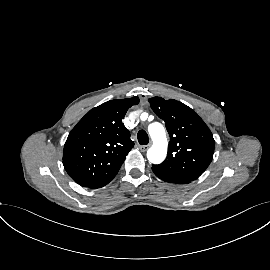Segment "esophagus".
Returning a JSON list of instances; mask_svg holds the SVG:
<instances>
[{"mask_svg": "<svg viewBox=\"0 0 270 270\" xmlns=\"http://www.w3.org/2000/svg\"><path fill=\"white\" fill-rule=\"evenodd\" d=\"M149 147H150V145H142V146H140V150H141L142 152H145V151L148 150Z\"/></svg>", "mask_w": 270, "mask_h": 270, "instance_id": "esophagus-1", "label": "esophagus"}]
</instances>
